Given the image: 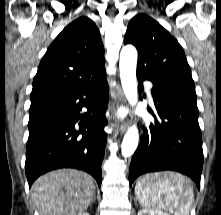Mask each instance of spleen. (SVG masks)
Segmentation results:
<instances>
[{"instance_id": "obj_1", "label": "spleen", "mask_w": 221, "mask_h": 215, "mask_svg": "<svg viewBox=\"0 0 221 215\" xmlns=\"http://www.w3.org/2000/svg\"><path fill=\"white\" fill-rule=\"evenodd\" d=\"M135 195L146 209L168 210L174 215H189L194 201L191 182L172 172H167L156 182L143 176L136 183Z\"/></svg>"}]
</instances>
